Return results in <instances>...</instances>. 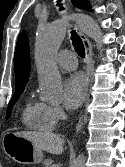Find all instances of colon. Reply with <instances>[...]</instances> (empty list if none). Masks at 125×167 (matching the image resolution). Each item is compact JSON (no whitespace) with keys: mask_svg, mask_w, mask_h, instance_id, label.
<instances>
[{"mask_svg":"<svg viewBox=\"0 0 125 167\" xmlns=\"http://www.w3.org/2000/svg\"><path fill=\"white\" fill-rule=\"evenodd\" d=\"M13 167H22L21 165H14Z\"/></svg>","mask_w":125,"mask_h":167,"instance_id":"1","label":"colon"}]
</instances>
